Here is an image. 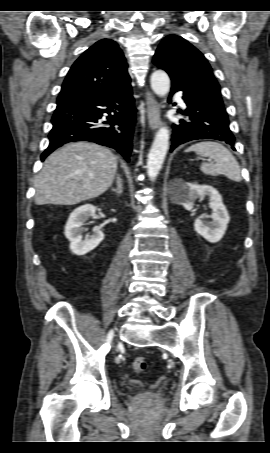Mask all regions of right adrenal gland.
<instances>
[{
    "label": "right adrenal gland",
    "mask_w": 270,
    "mask_h": 453,
    "mask_svg": "<svg viewBox=\"0 0 270 453\" xmlns=\"http://www.w3.org/2000/svg\"><path fill=\"white\" fill-rule=\"evenodd\" d=\"M117 188H112L111 190L117 195H121L123 192V180L119 174L116 176Z\"/></svg>",
    "instance_id": "obj_1"
}]
</instances>
